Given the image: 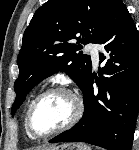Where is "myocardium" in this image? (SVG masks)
<instances>
[{
    "instance_id": "obj_1",
    "label": "myocardium",
    "mask_w": 139,
    "mask_h": 150,
    "mask_svg": "<svg viewBox=\"0 0 139 150\" xmlns=\"http://www.w3.org/2000/svg\"><path fill=\"white\" fill-rule=\"evenodd\" d=\"M57 92L65 93L68 96H70V98L72 99V101L74 103V113H73L72 117L70 118V120L66 124L62 125L61 127L56 128L47 133H38L37 131H35V129L33 127V115H34L36 106L43 97L47 96L48 94L57 93ZM83 110H84V106H83V102H82L81 98L72 89H70L66 86H62V85L51 86V87L43 90L42 92H40L32 100V102L29 106V109L27 111V115H26V127H27L28 132L34 138H38V139L48 138L50 136L62 133L64 131H67V130L71 129L72 127H74L78 123V121L81 119Z\"/></svg>"
}]
</instances>
